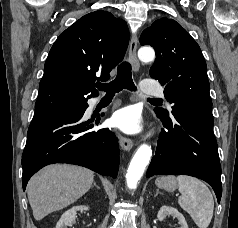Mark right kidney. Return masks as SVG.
Returning <instances> with one entry per match:
<instances>
[{
    "label": "right kidney",
    "mask_w": 238,
    "mask_h": 228,
    "mask_svg": "<svg viewBox=\"0 0 238 228\" xmlns=\"http://www.w3.org/2000/svg\"><path fill=\"white\" fill-rule=\"evenodd\" d=\"M88 206H75L67 210L57 222L56 228H67L75 223L77 211H88Z\"/></svg>",
    "instance_id": "right-kidney-1"
}]
</instances>
